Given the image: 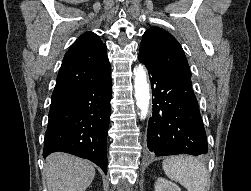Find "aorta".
Returning <instances> with one entry per match:
<instances>
[{
	"label": "aorta",
	"mask_w": 251,
	"mask_h": 191,
	"mask_svg": "<svg viewBox=\"0 0 251 191\" xmlns=\"http://www.w3.org/2000/svg\"><path fill=\"white\" fill-rule=\"evenodd\" d=\"M134 90H135V99L139 113L142 119L147 117L150 105V88L147 82L146 70L144 66H136L134 68Z\"/></svg>",
	"instance_id": "762f6f07"
}]
</instances>
